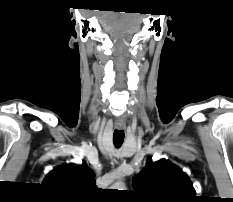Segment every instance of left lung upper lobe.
<instances>
[{"mask_svg": "<svg viewBox=\"0 0 233 202\" xmlns=\"http://www.w3.org/2000/svg\"><path fill=\"white\" fill-rule=\"evenodd\" d=\"M135 193L145 202H194L195 189L189 177L168 160L148 161L134 176Z\"/></svg>", "mask_w": 233, "mask_h": 202, "instance_id": "1", "label": "left lung upper lobe"}]
</instances>
